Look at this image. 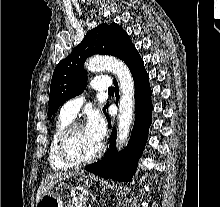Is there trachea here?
<instances>
[{
    "label": "trachea",
    "instance_id": "3493384b",
    "mask_svg": "<svg viewBox=\"0 0 220 207\" xmlns=\"http://www.w3.org/2000/svg\"><path fill=\"white\" fill-rule=\"evenodd\" d=\"M108 92H114V87H111Z\"/></svg>",
    "mask_w": 220,
    "mask_h": 207
}]
</instances>
